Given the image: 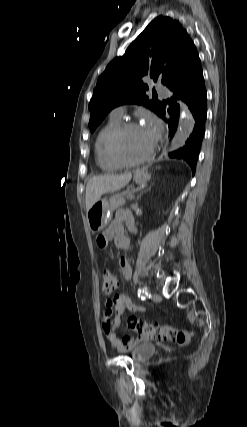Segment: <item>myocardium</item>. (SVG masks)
<instances>
[{"label": "myocardium", "mask_w": 247, "mask_h": 427, "mask_svg": "<svg viewBox=\"0 0 247 427\" xmlns=\"http://www.w3.org/2000/svg\"><path fill=\"white\" fill-rule=\"evenodd\" d=\"M140 125L136 122H124L121 123V125L116 129V131L113 133L110 142H109V151L111 157L114 159L115 162H117L122 167H128V166H136L143 164L147 162L154 154L155 151V144L152 145V147L149 149V151L138 159H128L125 157V155L122 152L121 144L124 135L133 128H138Z\"/></svg>", "instance_id": "f54148a6"}]
</instances>
